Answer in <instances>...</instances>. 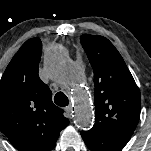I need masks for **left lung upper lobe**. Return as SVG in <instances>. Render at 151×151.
Segmentation results:
<instances>
[{
    "label": "left lung upper lobe",
    "instance_id": "left-lung-upper-lobe-1",
    "mask_svg": "<svg viewBox=\"0 0 151 151\" xmlns=\"http://www.w3.org/2000/svg\"><path fill=\"white\" fill-rule=\"evenodd\" d=\"M81 44L94 71L96 121L89 131L131 137L140 111V91L122 56L105 37L83 34Z\"/></svg>",
    "mask_w": 151,
    "mask_h": 151
}]
</instances>
